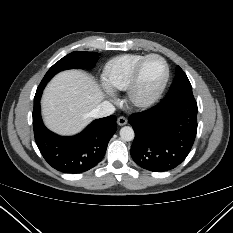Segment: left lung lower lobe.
I'll use <instances>...</instances> for the list:
<instances>
[{"mask_svg":"<svg viewBox=\"0 0 233 233\" xmlns=\"http://www.w3.org/2000/svg\"><path fill=\"white\" fill-rule=\"evenodd\" d=\"M197 103L194 98H173L130 115L135 131L132 159L153 172L168 171L182 163L197 132Z\"/></svg>","mask_w":233,"mask_h":233,"instance_id":"obj_1","label":"left lung lower lobe"}]
</instances>
